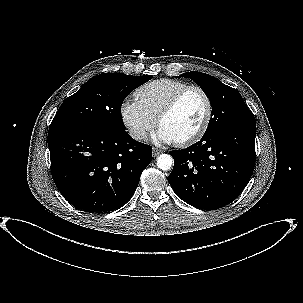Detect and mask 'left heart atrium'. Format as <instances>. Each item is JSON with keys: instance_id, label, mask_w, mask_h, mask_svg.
I'll return each mask as SVG.
<instances>
[{"instance_id": "obj_1", "label": "left heart atrium", "mask_w": 303, "mask_h": 303, "mask_svg": "<svg viewBox=\"0 0 303 303\" xmlns=\"http://www.w3.org/2000/svg\"><path fill=\"white\" fill-rule=\"evenodd\" d=\"M153 140L155 142L172 143L175 142V138L164 128L159 129L153 134Z\"/></svg>"}]
</instances>
